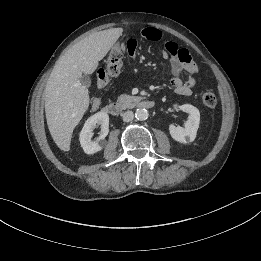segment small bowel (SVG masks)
I'll use <instances>...</instances> for the list:
<instances>
[{
    "label": "small bowel",
    "mask_w": 261,
    "mask_h": 261,
    "mask_svg": "<svg viewBox=\"0 0 261 261\" xmlns=\"http://www.w3.org/2000/svg\"><path fill=\"white\" fill-rule=\"evenodd\" d=\"M141 37L148 41H158L162 37L159 29L154 27H147L142 29ZM136 40L130 39L122 44V48L129 55L133 56L136 50ZM161 55L165 59L170 60V83L174 91L183 96H190L196 82V74L198 73V66L192 59L188 50L180 48L173 41H165L164 48ZM186 72L189 78L186 81L181 79V73ZM101 104V98L97 97L92 101V108L97 109Z\"/></svg>",
    "instance_id": "obj_1"
}]
</instances>
